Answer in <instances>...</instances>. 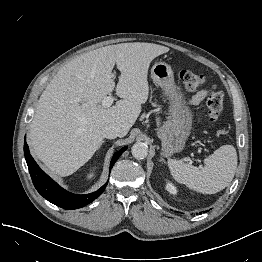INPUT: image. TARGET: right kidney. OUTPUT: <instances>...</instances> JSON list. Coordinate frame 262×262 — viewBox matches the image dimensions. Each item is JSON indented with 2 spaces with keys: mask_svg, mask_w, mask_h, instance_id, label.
Masks as SVG:
<instances>
[{
  "mask_svg": "<svg viewBox=\"0 0 262 262\" xmlns=\"http://www.w3.org/2000/svg\"><path fill=\"white\" fill-rule=\"evenodd\" d=\"M93 175H94V173L93 172H90L89 174H88V178H92L93 177Z\"/></svg>",
  "mask_w": 262,
  "mask_h": 262,
  "instance_id": "ca27d5eb",
  "label": "right kidney"
}]
</instances>
